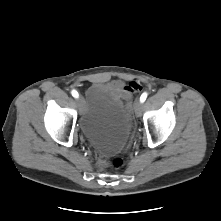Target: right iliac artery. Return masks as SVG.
I'll return each instance as SVG.
<instances>
[{
  "label": "right iliac artery",
  "mask_w": 221,
  "mask_h": 221,
  "mask_svg": "<svg viewBox=\"0 0 221 221\" xmlns=\"http://www.w3.org/2000/svg\"><path fill=\"white\" fill-rule=\"evenodd\" d=\"M72 96L77 98L79 96L78 92L76 90H72Z\"/></svg>",
  "instance_id": "1"
}]
</instances>
